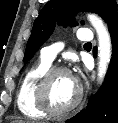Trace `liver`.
<instances>
[{
	"instance_id": "6515ba94",
	"label": "liver",
	"mask_w": 118,
	"mask_h": 123,
	"mask_svg": "<svg viewBox=\"0 0 118 123\" xmlns=\"http://www.w3.org/2000/svg\"><path fill=\"white\" fill-rule=\"evenodd\" d=\"M13 123H25L24 121H14Z\"/></svg>"
}]
</instances>
